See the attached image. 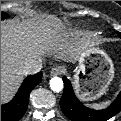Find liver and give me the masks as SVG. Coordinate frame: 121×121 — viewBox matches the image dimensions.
I'll list each match as a JSON object with an SVG mask.
<instances>
[{"label":"liver","mask_w":121,"mask_h":121,"mask_svg":"<svg viewBox=\"0 0 121 121\" xmlns=\"http://www.w3.org/2000/svg\"><path fill=\"white\" fill-rule=\"evenodd\" d=\"M85 45V39L66 41L57 21L50 16L36 22H1V104L8 102L17 91L23 80L21 66L28 58L53 56L73 61Z\"/></svg>","instance_id":"6515ba94"}]
</instances>
